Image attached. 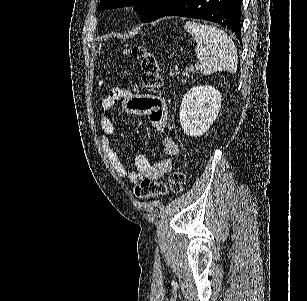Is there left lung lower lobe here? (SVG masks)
I'll return each instance as SVG.
<instances>
[{"instance_id":"left-lung-lower-lobe-1","label":"left lung lower lobe","mask_w":307,"mask_h":301,"mask_svg":"<svg viewBox=\"0 0 307 301\" xmlns=\"http://www.w3.org/2000/svg\"><path fill=\"white\" fill-rule=\"evenodd\" d=\"M240 8L241 0H175L158 18L182 16L215 22L230 29L241 42Z\"/></svg>"}]
</instances>
